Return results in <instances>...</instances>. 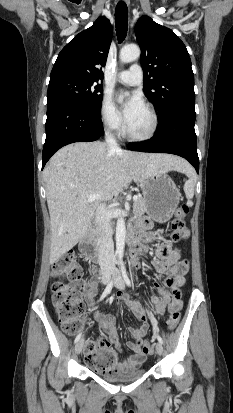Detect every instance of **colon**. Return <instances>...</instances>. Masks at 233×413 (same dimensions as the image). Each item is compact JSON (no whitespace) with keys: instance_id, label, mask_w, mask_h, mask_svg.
Instances as JSON below:
<instances>
[{"instance_id":"obj_1","label":"colon","mask_w":233,"mask_h":413,"mask_svg":"<svg viewBox=\"0 0 233 413\" xmlns=\"http://www.w3.org/2000/svg\"><path fill=\"white\" fill-rule=\"evenodd\" d=\"M189 212V206L182 204L175 212L172 221L171 240L178 242L181 235L186 230L185 217ZM52 274L57 281L52 285V302L56 309L58 320L62 329L67 334H74L78 329L81 318L85 311V303L80 291L84 286L82 280V269L72 252H67L52 265ZM180 307L176 303L172 307L168 319V328L174 330L180 321ZM145 353L152 352L150 340H146L143 345ZM87 363L90 367L101 374H115L118 372L117 355L115 352L103 346L102 343L88 344Z\"/></svg>"}]
</instances>
